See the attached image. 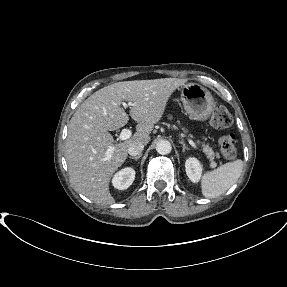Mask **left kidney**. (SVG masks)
<instances>
[{"mask_svg": "<svg viewBox=\"0 0 287 287\" xmlns=\"http://www.w3.org/2000/svg\"><path fill=\"white\" fill-rule=\"evenodd\" d=\"M185 170L188 178L194 182H199L202 174V165L193 157H190L185 162Z\"/></svg>", "mask_w": 287, "mask_h": 287, "instance_id": "1", "label": "left kidney"}]
</instances>
